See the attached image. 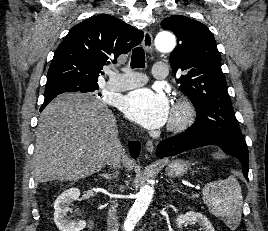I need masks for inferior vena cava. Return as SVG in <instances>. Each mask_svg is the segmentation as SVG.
<instances>
[{
	"mask_svg": "<svg viewBox=\"0 0 268 231\" xmlns=\"http://www.w3.org/2000/svg\"><path fill=\"white\" fill-rule=\"evenodd\" d=\"M121 159L120 158H114L109 164L113 168L119 165ZM116 208L117 205L115 202H113V205L108 211V217H107V231H118L119 229V224L117 221V216H116Z\"/></svg>",
	"mask_w": 268,
	"mask_h": 231,
	"instance_id": "1",
	"label": "inferior vena cava"
}]
</instances>
